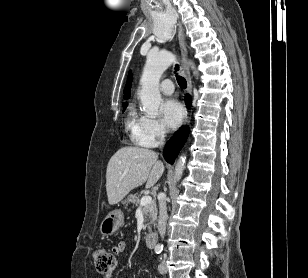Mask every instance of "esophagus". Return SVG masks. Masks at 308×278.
I'll return each mask as SVG.
<instances>
[{"label":"esophagus","instance_id":"1","mask_svg":"<svg viewBox=\"0 0 308 278\" xmlns=\"http://www.w3.org/2000/svg\"><path fill=\"white\" fill-rule=\"evenodd\" d=\"M178 38H179V45L181 50V55L183 57L182 67H181V74L185 77L187 81V92L191 94L192 92V80L190 76L189 66L187 64V45L185 40V33L184 28L181 23H178ZM190 122L189 114L185 117L184 125H188Z\"/></svg>","mask_w":308,"mask_h":278}]
</instances>
